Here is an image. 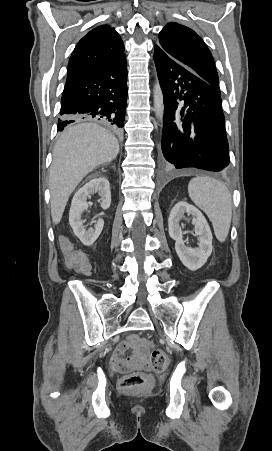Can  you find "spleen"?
I'll return each instance as SVG.
<instances>
[{
  "label": "spleen",
  "mask_w": 272,
  "mask_h": 451,
  "mask_svg": "<svg viewBox=\"0 0 272 451\" xmlns=\"http://www.w3.org/2000/svg\"><path fill=\"white\" fill-rule=\"evenodd\" d=\"M188 194L212 222L219 241H225L232 220V200L230 192L220 180L197 176L188 184Z\"/></svg>",
  "instance_id": "3e777b00"
}]
</instances>
